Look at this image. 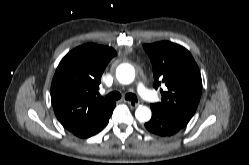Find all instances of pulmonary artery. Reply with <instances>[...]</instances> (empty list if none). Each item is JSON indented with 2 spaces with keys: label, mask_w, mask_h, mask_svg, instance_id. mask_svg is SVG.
I'll list each match as a JSON object with an SVG mask.
<instances>
[{
  "label": "pulmonary artery",
  "mask_w": 249,
  "mask_h": 165,
  "mask_svg": "<svg viewBox=\"0 0 249 165\" xmlns=\"http://www.w3.org/2000/svg\"><path fill=\"white\" fill-rule=\"evenodd\" d=\"M139 95L148 102H154L157 100V96L151 90L146 88L141 82L138 83L137 87Z\"/></svg>",
  "instance_id": "obj_1"
}]
</instances>
